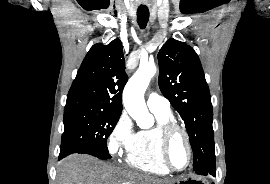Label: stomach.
<instances>
[{"instance_id": "stomach-1", "label": "stomach", "mask_w": 270, "mask_h": 184, "mask_svg": "<svg viewBox=\"0 0 270 184\" xmlns=\"http://www.w3.org/2000/svg\"><path fill=\"white\" fill-rule=\"evenodd\" d=\"M176 184H208L207 181L200 177H186L177 181Z\"/></svg>"}]
</instances>
